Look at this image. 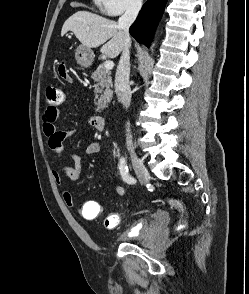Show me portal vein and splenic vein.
<instances>
[{
  "mask_svg": "<svg viewBox=\"0 0 249 294\" xmlns=\"http://www.w3.org/2000/svg\"><path fill=\"white\" fill-rule=\"evenodd\" d=\"M113 66H114V63H113V61H111V60H107V61H105V63H104V67H105L107 70H111V69L113 68Z\"/></svg>",
  "mask_w": 249,
  "mask_h": 294,
  "instance_id": "1",
  "label": "portal vein and splenic vein"
}]
</instances>
